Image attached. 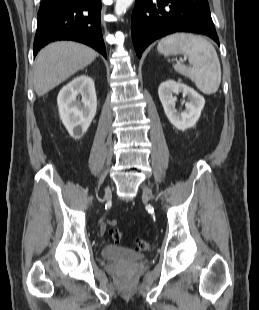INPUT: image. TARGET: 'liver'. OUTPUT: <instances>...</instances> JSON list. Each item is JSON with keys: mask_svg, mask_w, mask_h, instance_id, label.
Instances as JSON below:
<instances>
[{"mask_svg": "<svg viewBox=\"0 0 259 310\" xmlns=\"http://www.w3.org/2000/svg\"><path fill=\"white\" fill-rule=\"evenodd\" d=\"M97 52L80 43L59 41L37 55L33 72L34 90L43 96L77 71L91 64Z\"/></svg>", "mask_w": 259, "mask_h": 310, "instance_id": "obj_1", "label": "liver"}]
</instances>
